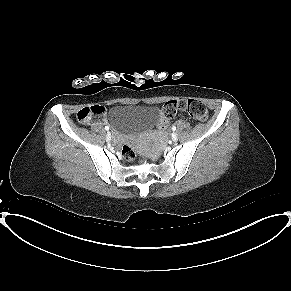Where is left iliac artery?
<instances>
[{
	"instance_id": "44dca946",
	"label": "left iliac artery",
	"mask_w": 291,
	"mask_h": 291,
	"mask_svg": "<svg viewBox=\"0 0 291 291\" xmlns=\"http://www.w3.org/2000/svg\"><path fill=\"white\" fill-rule=\"evenodd\" d=\"M172 130L175 131V130H176V126H173V127H172Z\"/></svg>"
}]
</instances>
